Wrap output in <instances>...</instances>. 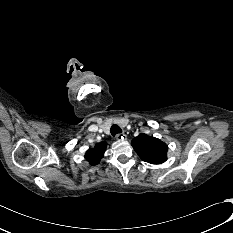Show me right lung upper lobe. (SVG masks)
I'll return each instance as SVG.
<instances>
[{
	"instance_id": "obj_1",
	"label": "right lung upper lobe",
	"mask_w": 233,
	"mask_h": 233,
	"mask_svg": "<svg viewBox=\"0 0 233 233\" xmlns=\"http://www.w3.org/2000/svg\"><path fill=\"white\" fill-rule=\"evenodd\" d=\"M107 144L105 142H101L99 144H96V146L92 149H89L86 154L85 158L91 165H96L100 162L101 158L104 155L105 148Z\"/></svg>"
}]
</instances>
